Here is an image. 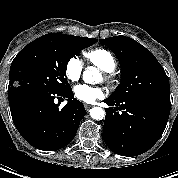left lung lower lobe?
I'll return each mask as SVG.
<instances>
[{
	"label": "left lung lower lobe",
	"instance_id": "obj_1",
	"mask_svg": "<svg viewBox=\"0 0 178 178\" xmlns=\"http://www.w3.org/2000/svg\"><path fill=\"white\" fill-rule=\"evenodd\" d=\"M103 135L107 146L122 156H137L148 151L163 134L168 122L170 107L136 97L116 102L109 98ZM117 109L122 110L119 114Z\"/></svg>",
	"mask_w": 178,
	"mask_h": 178
}]
</instances>
